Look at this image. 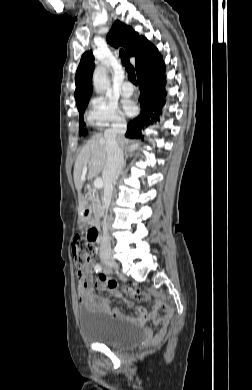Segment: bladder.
Masks as SVG:
<instances>
[{
	"label": "bladder",
	"instance_id": "bladder-1",
	"mask_svg": "<svg viewBox=\"0 0 252 390\" xmlns=\"http://www.w3.org/2000/svg\"><path fill=\"white\" fill-rule=\"evenodd\" d=\"M83 338L115 348H132L144 337V329L134 322L110 319L100 314L79 313Z\"/></svg>",
	"mask_w": 252,
	"mask_h": 390
}]
</instances>
